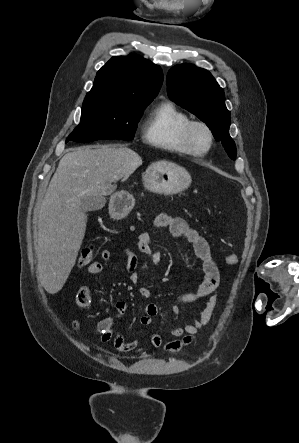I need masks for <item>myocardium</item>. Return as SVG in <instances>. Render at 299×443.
Masks as SVG:
<instances>
[{"label":"myocardium","mask_w":299,"mask_h":443,"mask_svg":"<svg viewBox=\"0 0 299 443\" xmlns=\"http://www.w3.org/2000/svg\"><path fill=\"white\" fill-rule=\"evenodd\" d=\"M196 128H202L208 135V146L203 150L197 149L193 144V133ZM181 142L188 154L201 157L209 153V151L212 149L214 144V134L207 123L199 120H191L183 128L181 133Z\"/></svg>","instance_id":"f54148a6"}]
</instances>
